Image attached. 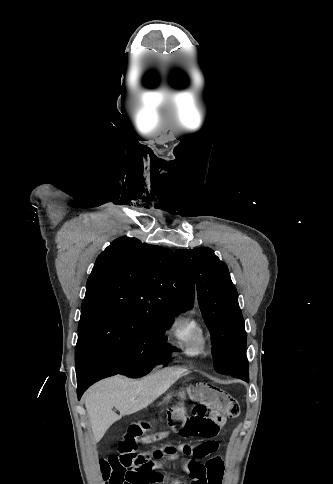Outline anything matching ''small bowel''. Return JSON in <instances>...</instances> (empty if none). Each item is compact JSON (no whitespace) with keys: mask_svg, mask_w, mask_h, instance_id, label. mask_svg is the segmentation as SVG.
Returning a JSON list of instances; mask_svg holds the SVG:
<instances>
[{"mask_svg":"<svg viewBox=\"0 0 333 484\" xmlns=\"http://www.w3.org/2000/svg\"><path fill=\"white\" fill-rule=\"evenodd\" d=\"M180 399L166 412L165 426L175 429L177 435L188 439L199 437L197 444H185L180 449L167 445L152 453L138 451V440L157 432L155 420H140L130 425L128 432L118 446V454L100 461V469L106 484H164L166 479L160 468L178 462L187 472V479L176 484H221L223 462L216 454L218 443L215 437L227 418L238 414L236 400L227 392L206 383L184 386ZM195 404L186 409L183 400ZM207 458L206 462L200 460Z\"/></svg>","mask_w":333,"mask_h":484,"instance_id":"small-bowel-1","label":"small bowel"}]
</instances>
